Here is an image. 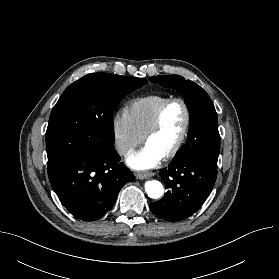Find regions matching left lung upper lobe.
Returning <instances> with one entry per match:
<instances>
[{"instance_id": "obj_1", "label": "left lung upper lobe", "mask_w": 279, "mask_h": 279, "mask_svg": "<svg viewBox=\"0 0 279 279\" xmlns=\"http://www.w3.org/2000/svg\"><path fill=\"white\" fill-rule=\"evenodd\" d=\"M150 81L178 90L190 112L188 141L174 160L192 156L217 166L220 135L217 113L208 94L195 82L178 75L154 76Z\"/></svg>"}]
</instances>
